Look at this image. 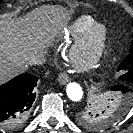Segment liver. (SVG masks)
Returning a JSON list of instances; mask_svg holds the SVG:
<instances>
[{"instance_id": "6515ba94", "label": "liver", "mask_w": 133, "mask_h": 133, "mask_svg": "<svg viewBox=\"0 0 133 133\" xmlns=\"http://www.w3.org/2000/svg\"><path fill=\"white\" fill-rule=\"evenodd\" d=\"M57 8L41 7L23 18L0 16V84L24 72L29 56L51 45L66 24Z\"/></svg>"}]
</instances>
